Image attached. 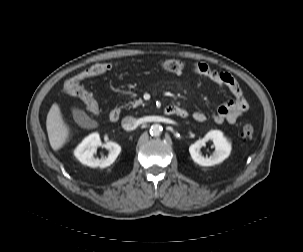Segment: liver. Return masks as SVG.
<instances>
[{
    "mask_svg": "<svg viewBox=\"0 0 303 252\" xmlns=\"http://www.w3.org/2000/svg\"><path fill=\"white\" fill-rule=\"evenodd\" d=\"M46 126L50 145L54 151H57L63 147L70 136V128L65 123L57 104L51 107L47 115Z\"/></svg>",
    "mask_w": 303,
    "mask_h": 252,
    "instance_id": "6515ba94",
    "label": "liver"
}]
</instances>
